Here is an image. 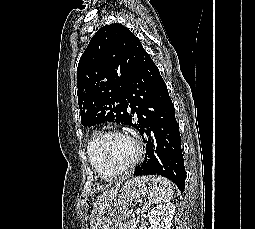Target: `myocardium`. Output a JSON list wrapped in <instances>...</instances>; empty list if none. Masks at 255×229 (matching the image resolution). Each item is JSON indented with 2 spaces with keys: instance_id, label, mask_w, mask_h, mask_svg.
Returning a JSON list of instances; mask_svg holds the SVG:
<instances>
[{
  "instance_id": "1",
  "label": "myocardium",
  "mask_w": 255,
  "mask_h": 229,
  "mask_svg": "<svg viewBox=\"0 0 255 229\" xmlns=\"http://www.w3.org/2000/svg\"><path fill=\"white\" fill-rule=\"evenodd\" d=\"M113 136H124V137L131 139L134 142V144L136 146V154L131 162H129L125 165L116 166V165H113L112 163H110L105 158L103 151H102V146L108 138L113 137ZM94 152H95L96 156L98 157V159L107 168H109L110 170H112L114 172L121 174L122 172L129 171V170L133 169L137 165V163L141 159L143 147H142V143H141L140 139L137 138L136 136H134L128 132H125V131L110 130V131L104 132L99 135V137L94 145Z\"/></svg>"
}]
</instances>
